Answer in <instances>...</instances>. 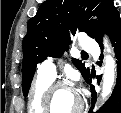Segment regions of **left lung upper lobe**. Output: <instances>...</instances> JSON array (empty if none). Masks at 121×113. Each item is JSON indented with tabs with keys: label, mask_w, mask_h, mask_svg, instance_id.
Returning a JSON list of instances; mask_svg holds the SVG:
<instances>
[{
	"label": "left lung upper lobe",
	"mask_w": 121,
	"mask_h": 113,
	"mask_svg": "<svg viewBox=\"0 0 121 113\" xmlns=\"http://www.w3.org/2000/svg\"><path fill=\"white\" fill-rule=\"evenodd\" d=\"M97 16L98 20H89ZM119 17L113 0H46L27 26L23 39L22 89L27 96L38 63L48 56L60 57L77 31L86 32L98 43ZM73 64L87 81L90 71L81 60Z\"/></svg>",
	"instance_id": "obj_1"
}]
</instances>
